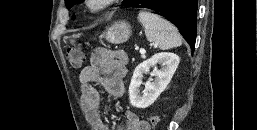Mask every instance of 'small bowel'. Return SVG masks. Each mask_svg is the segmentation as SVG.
<instances>
[{"label": "small bowel", "mask_w": 257, "mask_h": 130, "mask_svg": "<svg viewBox=\"0 0 257 130\" xmlns=\"http://www.w3.org/2000/svg\"><path fill=\"white\" fill-rule=\"evenodd\" d=\"M128 57L123 51L99 48L90 57V65L79 74L81 99L86 111L97 130H111L102 120L101 95L92 84L100 83L113 97L124 94V78L127 75ZM118 130H149L148 122L141 120L132 112H126V121L121 122Z\"/></svg>", "instance_id": "small-bowel-1"}]
</instances>
